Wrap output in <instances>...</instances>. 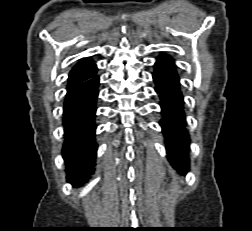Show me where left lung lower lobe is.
<instances>
[{"instance_id": "1", "label": "left lung lower lobe", "mask_w": 252, "mask_h": 231, "mask_svg": "<svg viewBox=\"0 0 252 231\" xmlns=\"http://www.w3.org/2000/svg\"><path fill=\"white\" fill-rule=\"evenodd\" d=\"M153 79L160 93L163 118L160 122L166 138L169 162L182 174L189 167V136L184 128L183 95L173 60L162 53L155 63Z\"/></svg>"}]
</instances>
